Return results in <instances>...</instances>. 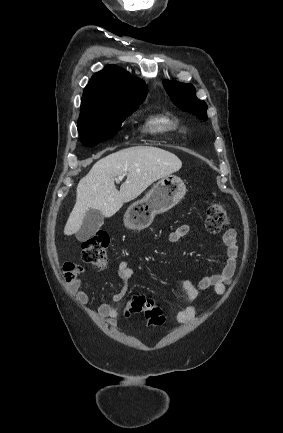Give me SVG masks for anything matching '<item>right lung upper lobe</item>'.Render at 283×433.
Listing matches in <instances>:
<instances>
[{
    "label": "right lung upper lobe",
    "instance_id": "right-lung-upper-lobe-1",
    "mask_svg": "<svg viewBox=\"0 0 283 433\" xmlns=\"http://www.w3.org/2000/svg\"><path fill=\"white\" fill-rule=\"evenodd\" d=\"M146 94L145 82L115 65H109L94 74L85 87L81 111L138 107Z\"/></svg>",
    "mask_w": 283,
    "mask_h": 433
}]
</instances>
